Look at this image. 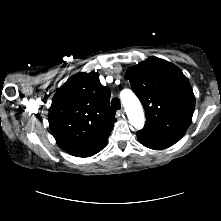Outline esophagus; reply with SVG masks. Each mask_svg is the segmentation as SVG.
I'll list each match as a JSON object with an SVG mask.
<instances>
[{"label": "esophagus", "mask_w": 221, "mask_h": 221, "mask_svg": "<svg viewBox=\"0 0 221 221\" xmlns=\"http://www.w3.org/2000/svg\"><path fill=\"white\" fill-rule=\"evenodd\" d=\"M119 113H120L121 115H124L125 110L122 108V109L119 111Z\"/></svg>", "instance_id": "1"}]
</instances>
